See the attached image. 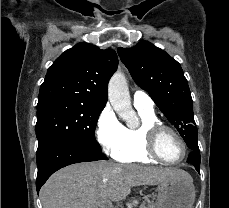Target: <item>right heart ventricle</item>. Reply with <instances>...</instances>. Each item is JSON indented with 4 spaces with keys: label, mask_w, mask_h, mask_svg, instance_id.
Instances as JSON below:
<instances>
[{
    "label": "right heart ventricle",
    "mask_w": 229,
    "mask_h": 208,
    "mask_svg": "<svg viewBox=\"0 0 229 208\" xmlns=\"http://www.w3.org/2000/svg\"><path fill=\"white\" fill-rule=\"evenodd\" d=\"M137 111L141 124L137 127L123 126L124 144L113 153V156L122 162L160 163L158 158H150V153L145 152L146 144L149 143L146 128L160 121L154 110L137 109Z\"/></svg>",
    "instance_id": "1"
}]
</instances>
